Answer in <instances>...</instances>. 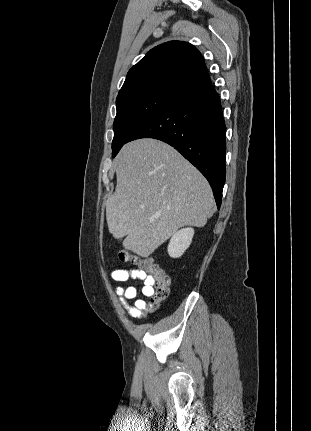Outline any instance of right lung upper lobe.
<instances>
[{"mask_svg":"<svg viewBox=\"0 0 311 431\" xmlns=\"http://www.w3.org/2000/svg\"><path fill=\"white\" fill-rule=\"evenodd\" d=\"M209 84L201 53L187 42L170 41L151 49L129 70L118 95L155 88L181 96Z\"/></svg>","mask_w":311,"mask_h":431,"instance_id":"1","label":"right lung upper lobe"}]
</instances>
